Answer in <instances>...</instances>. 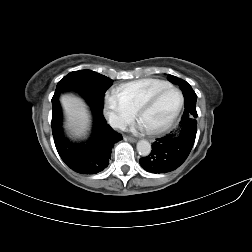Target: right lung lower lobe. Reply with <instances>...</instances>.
Instances as JSON below:
<instances>
[{
  "label": "right lung lower lobe",
  "mask_w": 252,
  "mask_h": 252,
  "mask_svg": "<svg viewBox=\"0 0 252 252\" xmlns=\"http://www.w3.org/2000/svg\"><path fill=\"white\" fill-rule=\"evenodd\" d=\"M52 134L62 160L80 174H96L106 168L111 150L122 139L103 117V108L91 106L94 124L91 137L83 143H71L62 132V113L59 102L53 103Z\"/></svg>",
  "instance_id": "1"
}]
</instances>
